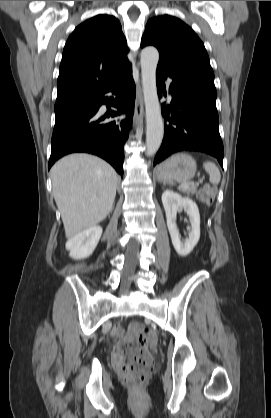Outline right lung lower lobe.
<instances>
[{
	"label": "right lung lower lobe",
	"instance_id": "98d812e1",
	"mask_svg": "<svg viewBox=\"0 0 271 418\" xmlns=\"http://www.w3.org/2000/svg\"><path fill=\"white\" fill-rule=\"evenodd\" d=\"M111 92L117 98L105 97ZM135 103V84L132 69H128L108 84L97 96L86 99L57 111L51 140V156L48 169L56 160L74 152L98 155L108 161L123 176V145L128 139L132 121H110L109 118L127 113L132 115ZM102 104H112L117 112L101 114Z\"/></svg>",
	"mask_w": 271,
	"mask_h": 418
}]
</instances>
